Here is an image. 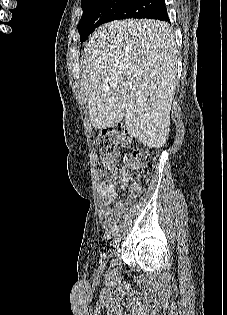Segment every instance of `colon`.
Returning a JSON list of instances; mask_svg holds the SVG:
<instances>
[{"mask_svg":"<svg viewBox=\"0 0 227 315\" xmlns=\"http://www.w3.org/2000/svg\"><path fill=\"white\" fill-rule=\"evenodd\" d=\"M101 157L97 162V176L102 183L111 182L117 173L118 153L128 149L129 154L122 168L123 174L132 180L150 173L157 157L156 148L139 142L129 135L122 125L107 127L97 137Z\"/></svg>","mask_w":227,"mask_h":315,"instance_id":"colon-1","label":"colon"}]
</instances>
